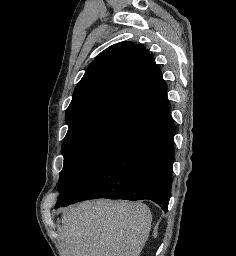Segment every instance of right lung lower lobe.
I'll return each mask as SVG.
<instances>
[{
  "label": "right lung lower lobe",
  "mask_w": 236,
  "mask_h": 256,
  "mask_svg": "<svg viewBox=\"0 0 236 256\" xmlns=\"http://www.w3.org/2000/svg\"><path fill=\"white\" fill-rule=\"evenodd\" d=\"M176 128L169 114L149 123L100 163L55 209L95 198L149 199L167 212Z\"/></svg>",
  "instance_id": "1"
}]
</instances>
